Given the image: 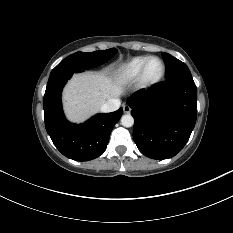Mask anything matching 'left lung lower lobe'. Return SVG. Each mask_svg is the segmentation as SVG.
Returning <instances> with one entry per match:
<instances>
[{"mask_svg": "<svg viewBox=\"0 0 233 233\" xmlns=\"http://www.w3.org/2000/svg\"><path fill=\"white\" fill-rule=\"evenodd\" d=\"M134 117L133 138L152 159H167L187 143L197 118V88L192 78L158 83L127 99Z\"/></svg>", "mask_w": 233, "mask_h": 233, "instance_id": "0a47b994", "label": "left lung lower lobe"}]
</instances>
